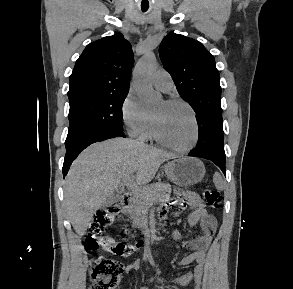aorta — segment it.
Here are the masks:
<instances>
[{
    "instance_id": "762f6f07",
    "label": "aorta",
    "mask_w": 293,
    "mask_h": 289,
    "mask_svg": "<svg viewBox=\"0 0 293 289\" xmlns=\"http://www.w3.org/2000/svg\"><path fill=\"white\" fill-rule=\"evenodd\" d=\"M157 68L154 56L148 54L134 69L133 86L141 99L147 106L157 105L162 100V95L155 91L152 86V76Z\"/></svg>"
}]
</instances>
